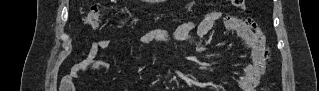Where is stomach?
Returning a JSON list of instances; mask_svg holds the SVG:
<instances>
[{
	"mask_svg": "<svg viewBox=\"0 0 319 91\" xmlns=\"http://www.w3.org/2000/svg\"><path fill=\"white\" fill-rule=\"evenodd\" d=\"M150 2H158L159 0H149Z\"/></svg>",
	"mask_w": 319,
	"mask_h": 91,
	"instance_id": "1",
	"label": "stomach"
}]
</instances>
